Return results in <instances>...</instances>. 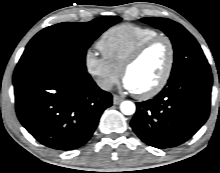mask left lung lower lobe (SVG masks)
Segmentation results:
<instances>
[{
	"label": "left lung lower lobe",
	"mask_w": 220,
	"mask_h": 173,
	"mask_svg": "<svg viewBox=\"0 0 220 173\" xmlns=\"http://www.w3.org/2000/svg\"><path fill=\"white\" fill-rule=\"evenodd\" d=\"M212 74L183 75L153 99L136 103L131 127L146 144L159 149L181 145L206 122Z\"/></svg>",
	"instance_id": "left-lung-lower-lobe-1"
}]
</instances>
